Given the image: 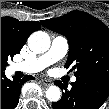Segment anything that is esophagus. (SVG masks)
<instances>
[{
	"label": "esophagus",
	"instance_id": "1",
	"mask_svg": "<svg viewBox=\"0 0 109 109\" xmlns=\"http://www.w3.org/2000/svg\"><path fill=\"white\" fill-rule=\"evenodd\" d=\"M40 82H41L44 86H46V87H48V86H50V85L52 84L51 81H49V80H44V79L40 80Z\"/></svg>",
	"mask_w": 109,
	"mask_h": 109
}]
</instances>
